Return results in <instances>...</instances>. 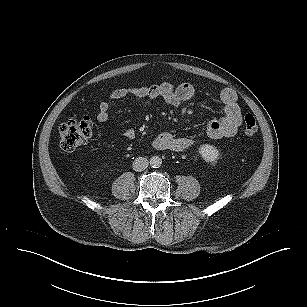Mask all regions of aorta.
Segmentation results:
<instances>
[{"label":"aorta","instance_id":"obj_1","mask_svg":"<svg viewBox=\"0 0 307 307\" xmlns=\"http://www.w3.org/2000/svg\"><path fill=\"white\" fill-rule=\"evenodd\" d=\"M162 164V159L159 156H153L150 159V165L153 168H159Z\"/></svg>","mask_w":307,"mask_h":307}]
</instances>
